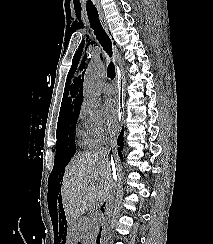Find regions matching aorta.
<instances>
[{
    "label": "aorta",
    "instance_id": "obj_1",
    "mask_svg": "<svg viewBox=\"0 0 213 244\" xmlns=\"http://www.w3.org/2000/svg\"><path fill=\"white\" fill-rule=\"evenodd\" d=\"M105 75V67L101 62H93L86 69L83 82L84 101L92 106H97L101 100L99 84Z\"/></svg>",
    "mask_w": 213,
    "mask_h": 244
}]
</instances>
